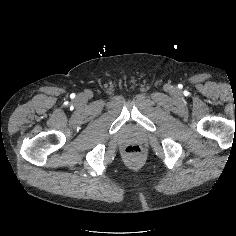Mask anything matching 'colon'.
Listing matches in <instances>:
<instances>
[{
  "label": "colon",
  "mask_w": 236,
  "mask_h": 236,
  "mask_svg": "<svg viewBox=\"0 0 236 236\" xmlns=\"http://www.w3.org/2000/svg\"><path fill=\"white\" fill-rule=\"evenodd\" d=\"M125 153L131 157H140L142 154V149H141V147H139L137 145H130V146L126 147Z\"/></svg>",
  "instance_id": "1"
}]
</instances>
